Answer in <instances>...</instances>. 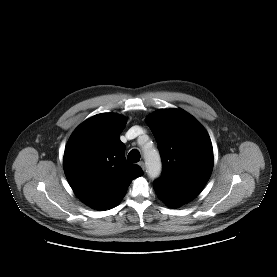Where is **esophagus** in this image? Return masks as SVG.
Returning a JSON list of instances; mask_svg holds the SVG:
<instances>
[{"instance_id":"obj_1","label":"esophagus","mask_w":277,"mask_h":277,"mask_svg":"<svg viewBox=\"0 0 277 277\" xmlns=\"http://www.w3.org/2000/svg\"><path fill=\"white\" fill-rule=\"evenodd\" d=\"M138 164H139V166L142 168V170L144 171V170H145V164H144V162L141 161V162H139Z\"/></svg>"}]
</instances>
